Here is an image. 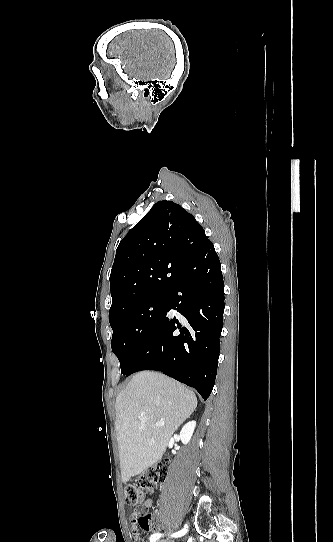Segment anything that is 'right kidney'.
<instances>
[{"instance_id": "right-kidney-1", "label": "right kidney", "mask_w": 333, "mask_h": 542, "mask_svg": "<svg viewBox=\"0 0 333 542\" xmlns=\"http://www.w3.org/2000/svg\"><path fill=\"white\" fill-rule=\"evenodd\" d=\"M196 422H188V424H185L183 426L181 432H180V440L182 444H188L192 438V434L195 430Z\"/></svg>"}]
</instances>
